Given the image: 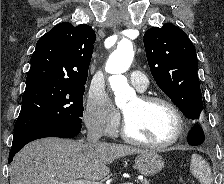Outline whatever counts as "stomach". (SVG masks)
Segmentation results:
<instances>
[{
	"label": "stomach",
	"mask_w": 224,
	"mask_h": 184,
	"mask_svg": "<svg viewBox=\"0 0 224 184\" xmlns=\"http://www.w3.org/2000/svg\"><path fill=\"white\" fill-rule=\"evenodd\" d=\"M163 167V158L159 154L152 151L140 153L135 158V168L144 176H153L160 172Z\"/></svg>",
	"instance_id": "obj_1"
}]
</instances>
